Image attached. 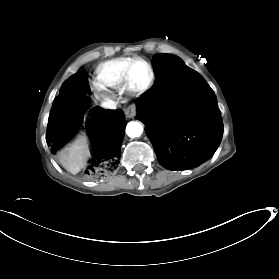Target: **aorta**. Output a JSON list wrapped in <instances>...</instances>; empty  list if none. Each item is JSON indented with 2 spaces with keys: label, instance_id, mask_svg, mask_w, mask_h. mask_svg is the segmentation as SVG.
I'll list each match as a JSON object with an SVG mask.
<instances>
[{
  "label": "aorta",
  "instance_id": "1",
  "mask_svg": "<svg viewBox=\"0 0 279 279\" xmlns=\"http://www.w3.org/2000/svg\"><path fill=\"white\" fill-rule=\"evenodd\" d=\"M143 132V127L139 122L131 121L126 126V134L131 137H139Z\"/></svg>",
  "mask_w": 279,
  "mask_h": 279
}]
</instances>
